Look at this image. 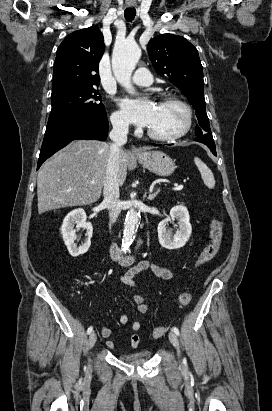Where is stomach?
Returning <instances> with one entry per match:
<instances>
[{
    "label": "stomach",
    "instance_id": "1",
    "mask_svg": "<svg viewBox=\"0 0 272 411\" xmlns=\"http://www.w3.org/2000/svg\"><path fill=\"white\" fill-rule=\"evenodd\" d=\"M136 159L149 171L159 176H169L176 168L174 161L161 151H146L136 156Z\"/></svg>",
    "mask_w": 272,
    "mask_h": 411
}]
</instances>
